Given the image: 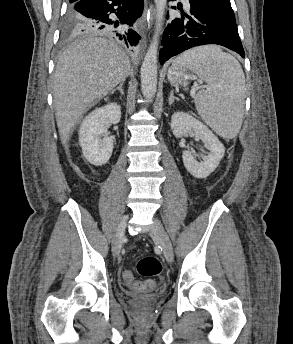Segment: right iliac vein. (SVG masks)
Segmentation results:
<instances>
[{
  "mask_svg": "<svg viewBox=\"0 0 293 344\" xmlns=\"http://www.w3.org/2000/svg\"><path fill=\"white\" fill-rule=\"evenodd\" d=\"M128 216H124L120 221L116 232L112 240V253L114 256H118L121 250V240L125 235V230L127 226Z\"/></svg>",
  "mask_w": 293,
  "mask_h": 344,
  "instance_id": "1",
  "label": "right iliac vein"
}]
</instances>
